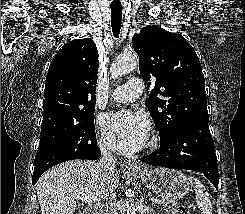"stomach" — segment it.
Instances as JSON below:
<instances>
[{
    "label": "stomach",
    "mask_w": 245,
    "mask_h": 214,
    "mask_svg": "<svg viewBox=\"0 0 245 214\" xmlns=\"http://www.w3.org/2000/svg\"><path fill=\"white\" fill-rule=\"evenodd\" d=\"M136 173L147 188L166 200L176 201L189 191V182L179 170L148 167Z\"/></svg>",
    "instance_id": "0dacf381"
}]
</instances>
